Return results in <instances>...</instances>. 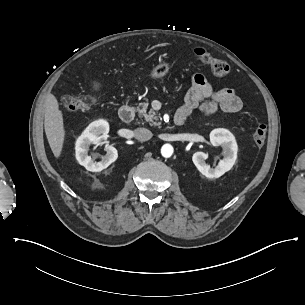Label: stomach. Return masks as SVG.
<instances>
[{"mask_svg": "<svg viewBox=\"0 0 305 305\" xmlns=\"http://www.w3.org/2000/svg\"><path fill=\"white\" fill-rule=\"evenodd\" d=\"M171 69V65L169 62L161 61L157 65H155L150 73L147 75V80H159L166 77Z\"/></svg>", "mask_w": 305, "mask_h": 305, "instance_id": "1", "label": "stomach"}]
</instances>
